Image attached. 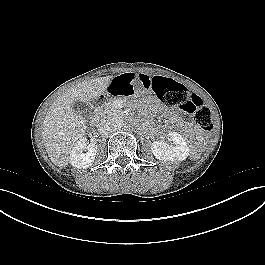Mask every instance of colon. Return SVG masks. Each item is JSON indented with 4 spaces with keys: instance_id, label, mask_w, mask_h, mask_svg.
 Wrapping results in <instances>:
<instances>
[{
    "instance_id": "colon-1",
    "label": "colon",
    "mask_w": 265,
    "mask_h": 265,
    "mask_svg": "<svg viewBox=\"0 0 265 265\" xmlns=\"http://www.w3.org/2000/svg\"><path fill=\"white\" fill-rule=\"evenodd\" d=\"M152 89L166 108L180 107L183 111L193 114L195 122L202 129H211L210 110L204 106L199 96L191 94L184 85L170 78L156 76L152 80Z\"/></svg>"
}]
</instances>
